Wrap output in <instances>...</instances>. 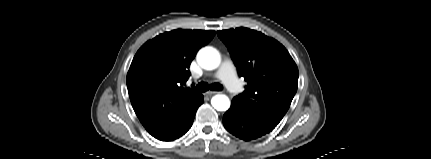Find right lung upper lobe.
I'll use <instances>...</instances> for the list:
<instances>
[{
	"label": "right lung upper lobe",
	"instance_id": "cb5924a9",
	"mask_svg": "<svg viewBox=\"0 0 431 159\" xmlns=\"http://www.w3.org/2000/svg\"><path fill=\"white\" fill-rule=\"evenodd\" d=\"M214 35V31L177 29L156 36L137 51L126 83L133 109L152 136L198 95L183 85L197 51Z\"/></svg>",
	"mask_w": 431,
	"mask_h": 159
}]
</instances>
